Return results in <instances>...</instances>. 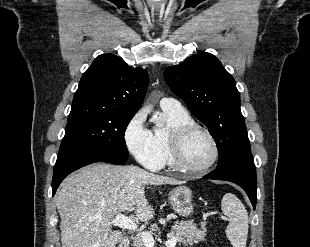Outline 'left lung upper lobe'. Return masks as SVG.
I'll return each mask as SVG.
<instances>
[{
	"instance_id": "5c2ea615",
	"label": "left lung upper lobe",
	"mask_w": 310,
	"mask_h": 247,
	"mask_svg": "<svg viewBox=\"0 0 310 247\" xmlns=\"http://www.w3.org/2000/svg\"><path fill=\"white\" fill-rule=\"evenodd\" d=\"M164 78L171 90L205 124L214 138L222 166L250 153L240 93L234 78L212 54L201 52L168 67Z\"/></svg>"
}]
</instances>
